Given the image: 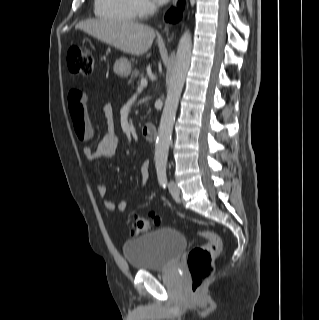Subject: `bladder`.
Returning a JSON list of instances; mask_svg holds the SVG:
<instances>
[{"instance_id":"31cf9c89","label":"bladder","mask_w":319,"mask_h":320,"mask_svg":"<svg viewBox=\"0 0 319 320\" xmlns=\"http://www.w3.org/2000/svg\"><path fill=\"white\" fill-rule=\"evenodd\" d=\"M188 247L186 236L173 228H160L125 241L123 253L136 271L165 270L175 264Z\"/></svg>"}]
</instances>
